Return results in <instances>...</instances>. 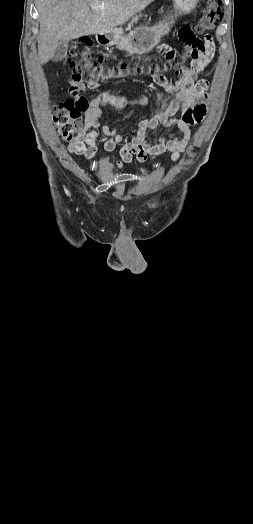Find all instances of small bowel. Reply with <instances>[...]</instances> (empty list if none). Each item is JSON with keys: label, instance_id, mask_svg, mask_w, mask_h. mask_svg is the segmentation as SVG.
Wrapping results in <instances>:
<instances>
[{"label": "small bowel", "instance_id": "obj_1", "mask_svg": "<svg viewBox=\"0 0 253 524\" xmlns=\"http://www.w3.org/2000/svg\"><path fill=\"white\" fill-rule=\"evenodd\" d=\"M176 36L180 44H185L182 54L187 62L191 63V66L186 68L184 65H179L166 68L168 73L178 72L179 79L175 85H172L173 79L166 77L164 73L150 71V81L159 88L156 95V112L151 117L140 120L138 128L133 130V137L128 139L118 133L116 127L100 125L101 107L107 105L114 109L136 108L148 104L151 95L141 94L134 98H127L109 91H102L91 99L85 115L84 127L68 146L70 154L94 160L97 152L96 137L101 142L108 138L104 143L106 154L114 151L117 145H122L120 160L116 162L118 167L123 163H131L134 156L139 163H143L149 155L156 156L170 151L172 158L177 159L184 152L190 140L191 125L194 124L188 120L187 114L193 107L202 105L207 98V82L198 80L197 74L208 65L216 46L212 43L211 35L199 36L190 24H181ZM159 51L164 56L160 59L162 64H175V50L162 44L159 46ZM167 95L174 96V99H167ZM178 113L180 116L174 117ZM159 126L165 129L175 128L177 134L161 135L157 142L152 144L146 138L147 133Z\"/></svg>", "mask_w": 253, "mask_h": 524}]
</instances>
